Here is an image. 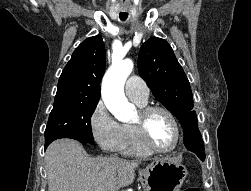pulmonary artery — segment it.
<instances>
[{"instance_id":"pulmonary-artery-1","label":"pulmonary artery","mask_w":251,"mask_h":191,"mask_svg":"<svg viewBox=\"0 0 251 191\" xmlns=\"http://www.w3.org/2000/svg\"><path fill=\"white\" fill-rule=\"evenodd\" d=\"M125 93L134 101H146L149 90L144 80L137 76H131L125 82Z\"/></svg>"}]
</instances>
